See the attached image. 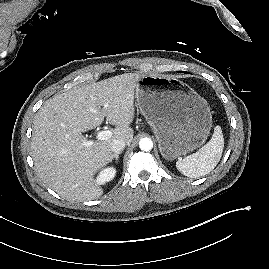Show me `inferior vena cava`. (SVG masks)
Returning a JSON list of instances; mask_svg holds the SVG:
<instances>
[{
	"mask_svg": "<svg viewBox=\"0 0 269 269\" xmlns=\"http://www.w3.org/2000/svg\"><path fill=\"white\" fill-rule=\"evenodd\" d=\"M126 142L121 139L114 140L111 144V151L117 153L125 148Z\"/></svg>",
	"mask_w": 269,
	"mask_h": 269,
	"instance_id": "1",
	"label": "inferior vena cava"
}]
</instances>
